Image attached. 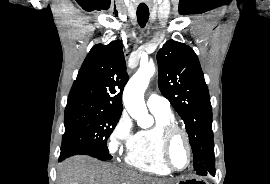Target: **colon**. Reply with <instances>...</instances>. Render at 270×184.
<instances>
[{
    "mask_svg": "<svg viewBox=\"0 0 270 184\" xmlns=\"http://www.w3.org/2000/svg\"><path fill=\"white\" fill-rule=\"evenodd\" d=\"M196 184H205V183H196Z\"/></svg>",
    "mask_w": 270,
    "mask_h": 184,
    "instance_id": "colon-1",
    "label": "colon"
}]
</instances>
